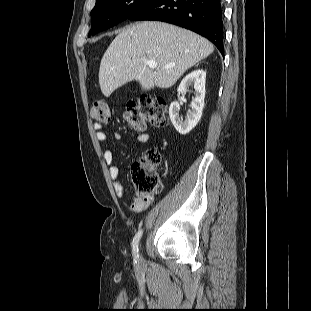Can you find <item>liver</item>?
Listing matches in <instances>:
<instances>
[{
    "mask_svg": "<svg viewBox=\"0 0 311 311\" xmlns=\"http://www.w3.org/2000/svg\"><path fill=\"white\" fill-rule=\"evenodd\" d=\"M213 44L174 25L144 21L122 29L104 53L99 68L102 93L109 97L123 84L136 80L145 91L169 88L184 72L209 56ZM144 59L155 61L151 69ZM174 65L166 69L167 65Z\"/></svg>",
    "mask_w": 311,
    "mask_h": 311,
    "instance_id": "obj_1",
    "label": "liver"
}]
</instances>
